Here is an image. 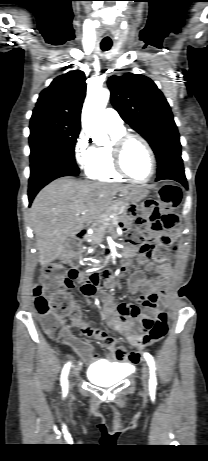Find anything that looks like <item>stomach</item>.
<instances>
[{
    "label": "stomach",
    "mask_w": 208,
    "mask_h": 461,
    "mask_svg": "<svg viewBox=\"0 0 208 461\" xmlns=\"http://www.w3.org/2000/svg\"><path fill=\"white\" fill-rule=\"evenodd\" d=\"M149 194V190L143 186H137L123 194L124 200L129 203H138Z\"/></svg>",
    "instance_id": "obj_1"
}]
</instances>
